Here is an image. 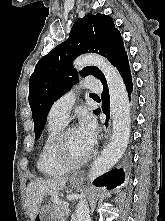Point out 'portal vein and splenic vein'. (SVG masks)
Segmentation results:
<instances>
[{
	"label": "portal vein and splenic vein",
	"mask_w": 165,
	"mask_h": 221,
	"mask_svg": "<svg viewBox=\"0 0 165 221\" xmlns=\"http://www.w3.org/2000/svg\"><path fill=\"white\" fill-rule=\"evenodd\" d=\"M63 205L66 206V207H69V203L68 202H64Z\"/></svg>",
	"instance_id": "obj_1"
}]
</instances>
